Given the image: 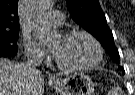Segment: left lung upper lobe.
Instances as JSON below:
<instances>
[{
    "instance_id": "obj_1",
    "label": "left lung upper lobe",
    "mask_w": 135,
    "mask_h": 95,
    "mask_svg": "<svg viewBox=\"0 0 135 95\" xmlns=\"http://www.w3.org/2000/svg\"><path fill=\"white\" fill-rule=\"evenodd\" d=\"M73 20L91 33L116 63L119 61V52L114 44L113 34L107 25L106 17L98 0H66ZM121 70H124L119 66Z\"/></svg>"
}]
</instances>
